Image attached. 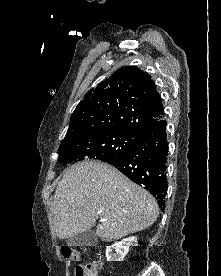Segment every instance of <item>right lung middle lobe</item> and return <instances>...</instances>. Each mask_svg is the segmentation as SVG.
I'll list each match as a JSON object with an SVG mask.
<instances>
[{
	"label": "right lung middle lobe",
	"mask_w": 221,
	"mask_h": 276,
	"mask_svg": "<svg viewBox=\"0 0 221 276\" xmlns=\"http://www.w3.org/2000/svg\"><path fill=\"white\" fill-rule=\"evenodd\" d=\"M138 141L137 136L123 132H111L62 142L59 148V162L70 164L87 159L107 162L128 153Z\"/></svg>",
	"instance_id": "obj_1"
}]
</instances>
